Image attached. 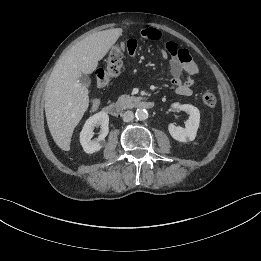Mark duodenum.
<instances>
[{
  "label": "duodenum",
  "mask_w": 261,
  "mask_h": 261,
  "mask_svg": "<svg viewBox=\"0 0 261 261\" xmlns=\"http://www.w3.org/2000/svg\"><path fill=\"white\" fill-rule=\"evenodd\" d=\"M132 104L138 108L150 109L154 106V103L150 100L137 99ZM124 106L120 103H111L104 108V112L113 117H118L124 110Z\"/></svg>",
  "instance_id": "410a0bca"
}]
</instances>
